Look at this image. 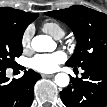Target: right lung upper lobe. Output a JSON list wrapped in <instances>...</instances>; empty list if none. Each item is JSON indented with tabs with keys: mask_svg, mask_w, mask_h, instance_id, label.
Masks as SVG:
<instances>
[{
	"mask_svg": "<svg viewBox=\"0 0 107 107\" xmlns=\"http://www.w3.org/2000/svg\"><path fill=\"white\" fill-rule=\"evenodd\" d=\"M0 13L11 15L15 17L18 22L23 23L27 26L28 24H30L32 21H34L38 17V14H32L29 12L16 10V9L9 8V7H1Z\"/></svg>",
	"mask_w": 107,
	"mask_h": 107,
	"instance_id": "1",
	"label": "right lung upper lobe"
}]
</instances>
